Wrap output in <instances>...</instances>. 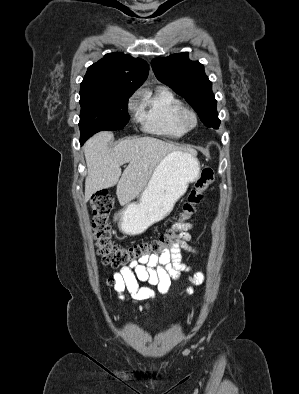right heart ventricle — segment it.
I'll list each match as a JSON object with an SVG mask.
<instances>
[{
	"label": "right heart ventricle",
	"instance_id": "right-heart-ventricle-1",
	"mask_svg": "<svg viewBox=\"0 0 299 394\" xmlns=\"http://www.w3.org/2000/svg\"><path fill=\"white\" fill-rule=\"evenodd\" d=\"M182 107V102L172 91L158 87L152 92H143L137 118L148 133L178 138L186 133L178 120Z\"/></svg>",
	"mask_w": 299,
	"mask_h": 394
}]
</instances>
